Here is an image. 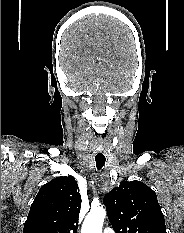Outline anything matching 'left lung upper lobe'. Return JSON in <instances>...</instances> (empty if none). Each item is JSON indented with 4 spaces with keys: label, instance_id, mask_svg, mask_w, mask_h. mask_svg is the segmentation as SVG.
<instances>
[{
    "label": "left lung upper lobe",
    "instance_id": "obj_1",
    "mask_svg": "<svg viewBox=\"0 0 184 233\" xmlns=\"http://www.w3.org/2000/svg\"><path fill=\"white\" fill-rule=\"evenodd\" d=\"M116 233H166L156 193L140 181H124L104 197Z\"/></svg>",
    "mask_w": 184,
    "mask_h": 233
}]
</instances>
